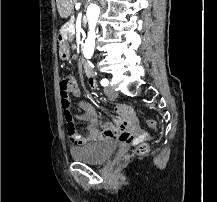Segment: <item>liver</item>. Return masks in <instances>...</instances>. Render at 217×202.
Segmentation results:
<instances>
[{
  "label": "liver",
  "instance_id": "obj_1",
  "mask_svg": "<svg viewBox=\"0 0 217 202\" xmlns=\"http://www.w3.org/2000/svg\"><path fill=\"white\" fill-rule=\"evenodd\" d=\"M76 2L78 0H56L60 18H69L70 14H73L74 4Z\"/></svg>",
  "mask_w": 217,
  "mask_h": 202
}]
</instances>
